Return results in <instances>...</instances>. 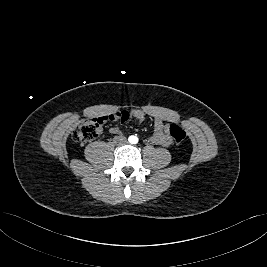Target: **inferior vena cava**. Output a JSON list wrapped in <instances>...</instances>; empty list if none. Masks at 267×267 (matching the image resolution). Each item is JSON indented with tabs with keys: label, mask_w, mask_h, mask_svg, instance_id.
<instances>
[{
	"label": "inferior vena cava",
	"mask_w": 267,
	"mask_h": 267,
	"mask_svg": "<svg viewBox=\"0 0 267 267\" xmlns=\"http://www.w3.org/2000/svg\"><path fill=\"white\" fill-rule=\"evenodd\" d=\"M118 144H123L126 142V138L124 136L116 138Z\"/></svg>",
	"instance_id": "obj_1"
}]
</instances>
